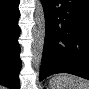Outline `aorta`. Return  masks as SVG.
Masks as SVG:
<instances>
[{"label": "aorta", "mask_w": 89, "mask_h": 89, "mask_svg": "<svg viewBox=\"0 0 89 89\" xmlns=\"http://www.w3.org/2000/svg\"><path fill=\"white\" fill-rule=\"evenodd\" d=\"M34 22L32 30V65L38 71L41 65L45 41V14L39 0L36 1Z\"/></svg>", "instance_id": "762f6f07"}]
</instances>
